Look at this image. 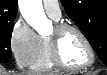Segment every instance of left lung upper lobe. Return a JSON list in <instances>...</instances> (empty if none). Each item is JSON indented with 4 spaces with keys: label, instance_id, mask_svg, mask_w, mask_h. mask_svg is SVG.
Wrapping results in <instances>:
<instances>
[{
    "label": "left lung upper lobe",
    "instance_id": "left-lung-upper-lobe-1",
    "mask_svg": "<svg viewBox=\"0 0 107 75\" xmlns=\"http://www.w3.org/2000/svg\"><path fill=\"white\" fill-rule=\"evenodd\" d=\"M61 3L107 65V0H61Z\"/></svg>",
    "mask_w": 107,
    "mask_h": 75
}]
</instances>
